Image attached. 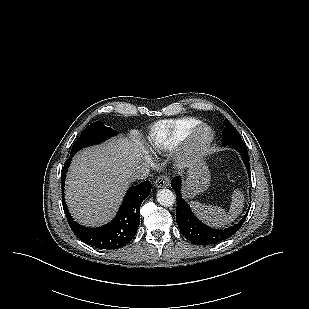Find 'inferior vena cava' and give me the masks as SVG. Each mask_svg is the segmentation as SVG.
<instances>
[{
  "label": "inferior vena cava",
  "instance_id": "inferior-vena-cava-1",
  "mask_svg": "<svg viewBox=\"0 0 309 309\" xmlns=\"http://www.w3.org/2000/svg\"><path fill=\"white\" fill-rule=\"evenodd\" d=\"M149 175V169L144 166H138L132 169L128 175L131 180H144Z\"/></svg>",
  "mask_w": 309,
  "mask_h": 309
}]
</instances>
